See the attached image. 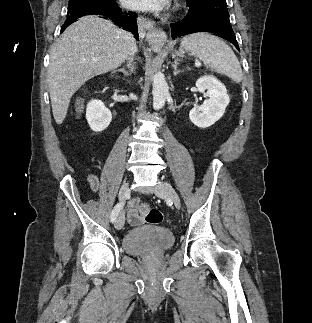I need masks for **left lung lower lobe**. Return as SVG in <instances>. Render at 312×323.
Segmentation results:
<instances>
[{
    "label": "left lung lower lobe",
    "instance_id": "0a47b994",
    "mask_svg": "<svg viewBox=\"0 0 312 323\" xmlns=\"http://www.w3.org/2000/svg\"><path fill=\"white\" fill-rule=\"evenodd\" d=\"M201 11L194 17L186 16L183 20L170 24L172 38L197 32H210L232 42L239 50L230 24L227 4L222 1L206 4Z\"/></svg>",
    "mask_w": 312,
    "mask_h": 323
}]
</instances>
